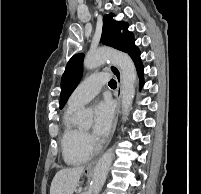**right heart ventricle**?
I'll list each match as a JSON object with an SVG mask.
<instances>
[{"label":"right heart ventricle","mask_w":201,"mask_h":194,"mask_svg":"<svg viewBox=\"0 0 201 194\" xmlns=\"http://www.w3.org/2000/svg\"><path fill=\"white\" fill-rule=\"evenodd\" d=\"M76 109L68 106L62 119L61 148L65 162L71 165L86 162L93 153L85 144L84 132L73 123L72 117Z\"/></svg>","instance_id":"right-heart-ventricle-1"}]
</instances>
